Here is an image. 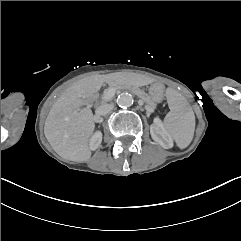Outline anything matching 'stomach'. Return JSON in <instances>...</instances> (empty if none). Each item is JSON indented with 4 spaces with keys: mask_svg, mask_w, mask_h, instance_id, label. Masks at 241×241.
I'll return each mask as SVG.
<instances>
[{
    "mask_svg": "<svg viewBox=\"0 0 241 241\" xmlns=\"http://www.w3.org/2000/svg\"><path fill=\"white\" fill-rule=\"evenodd\" d=\"M165 86L162 83H154L149 88V97L155 102H161L164 98Z\"/></svg>",
    "mask_w": 241,
    "mask_h": 241,
    "instance_id": "obj_1",
    "label": "stomach"
}]
</instances>
